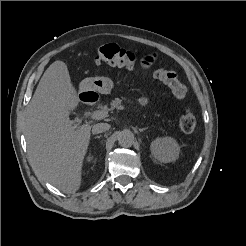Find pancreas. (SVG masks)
<instances>
[{
	"label": "pancreas",
	"instance_id": "obj_1",
	"mask_svg": "<svg viewBox=\"0 0 246 246\" xmlns=\"http://www.w3.org/2000/svg\"><path fill=\"white\" fill-rule=\"evenodd\" d=\"M122 104V99L119 98H115L114 100H112V102L110 103V109L113 110L115 108H118L119 106H121ZM107 107V106H105Z\"/></svg>",
	"mask_w": 246,
	"mask_h": 246
}]
</instances>
